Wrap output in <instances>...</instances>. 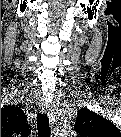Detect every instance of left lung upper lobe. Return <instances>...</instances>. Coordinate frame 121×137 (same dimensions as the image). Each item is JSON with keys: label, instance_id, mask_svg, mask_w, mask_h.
<instances>
[{"label": "left lung upper lobe", "instance_id": "obj_1", "mask_svg": "<svg viewBox=\"0 0 121 137\" xmlns=\"http://www.w3.org/2000/svg\"><path fill=\"white\" fill-rule=\"evenodd\" d=\"M74 129L80 136L93 137H114L121 136L118 128L103 118L88 109L81 108L78 111V117L75 122Z\"/></svg>", "mask_w": 121, "mask_h": 137}]
</instances>
